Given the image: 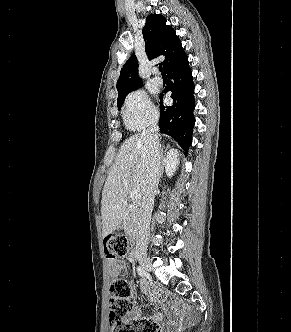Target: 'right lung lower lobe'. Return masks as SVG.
<instances>
[{
	"instance_id": "98d812e1",
	"label": "right lung lower lobe",
	"mask_w": 291,
	"mask_h": 332,
	"mask_svg": "<svg viewBox=\"0 0 291 332\" xmlns=\"http://www.w3.org/2000/svg\"><path fill=\"white\" fill-rule=\"evenodd\" d=\"M169 83L164 92L171 91L174 100L172 106L165 107L160 101L159 127L162 133L173 137L185 152L192 143V132L195 123L194 83L188 65V57L170 67L167 71Z\"/></svg>"
}]
</instances>
